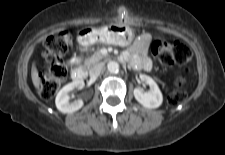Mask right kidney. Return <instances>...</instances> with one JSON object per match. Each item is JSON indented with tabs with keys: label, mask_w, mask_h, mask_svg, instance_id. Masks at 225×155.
I'll return each instance as SVG.
<instances>
[{
	"label": "right kidney",
	"mask_w": 225,
	"mask_h": 155,
	"mask_svg": "<svg viewBox=\"0 0 225 155\" xmlns=\"http://www.w3.org/2000/svg\"><path fill=\"white\" fill-rule=\"evenodd\" d=\"M84 87L83 80H76L65 85L57 94L55 99L56 107L62 113H73L83 106V100L79 99L72 103L69 102L70 96L68 93L75 88L82 89Z\"/></svg>",
	"instance_id": "obj_1"
}]
</instances>
